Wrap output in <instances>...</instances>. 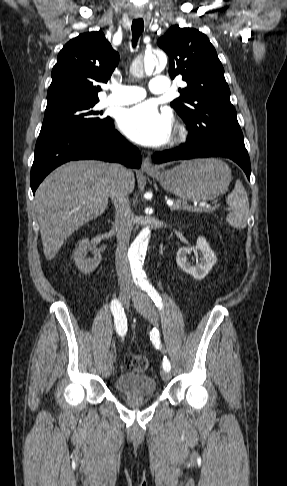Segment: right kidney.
I'll return each instance as SVG.
<instances>
[{"mask_svg":"<svg viewBox=\"0 0 287 486\" xmlns=\"http://www.w3.org/2000/svg\"><path fill=\"white\" fill-rule=\"evenodd\" d=\"M93 254V258H86L88 252ZM75 265L83 274L93 272L101 262L102 256L96 247H92L88 239H82L73 254Z\"/></svg>","mask_w":287,"mask_h":486,"instance_id":"obj_1","label":"right kidney"}]
</instances>
